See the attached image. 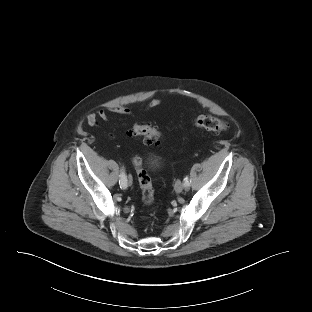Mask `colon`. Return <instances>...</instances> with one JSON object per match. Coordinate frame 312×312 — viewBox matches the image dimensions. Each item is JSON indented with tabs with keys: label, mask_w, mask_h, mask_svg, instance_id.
I'll return each mask as SVG.
<instances>
[{
	"label": "colon",
	"mask_w": 312,
	"mask_h": 312,
	"mask_svg": "<svg viewBox=\"0 0 312 312\" xmlns=\"http://www.w3.org/2000/svg\"><path fill=\"white\" fill-rule=\"evenodd\" d=\"M195 126L208 132L221 133L228 129V123L215 116H201L195 120ZM131 135L143 137L145 142L151 144L160 139L161 133L148 124L136 123L131 131ZM133 164L136 169L139 186L141 188L142 201L146 205L154 202V189L151 179L143 168L142 160L139 157L133 158Z\"/></svg>",
	"instance_id": "5ec220e1"
}]
</instances>
